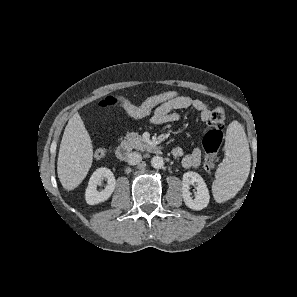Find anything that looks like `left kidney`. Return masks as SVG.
<instances>
[{"instance_id": "1", "label": "left kidney", "mask_w": 297, "mask_h": 297, "mask_svg": "<svg viewBox=\"0 0 297 297\" xmlns=\"http://www.w3.org/2000/svg\"><path fill=\"white\" fill-rule=\"evenodd\" d=\"M197 184V192L194 198L191 197L190 185ZM182 196L186 206L193 210H202L207 207L210 199L209 191L206 183L201 175L196 172L189 171L182 177Z\"/></svg>"}]
</instances>
